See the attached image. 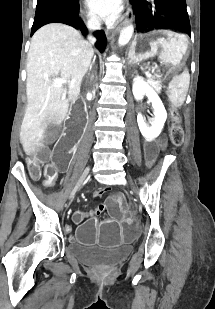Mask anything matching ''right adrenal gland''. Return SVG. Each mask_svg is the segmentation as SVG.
Segmentation results:
<instances>
[{"mask_svg":"<svg viewBox=\"0 0 215 309\" xmlns=\"http://www.w3.org/2000/svg\"><path fill=\"white\" fill-rule=\"evenodd\" d=\"M95 58H96V54H94V58H93V60H92V62H91V64H90V66H89V70H91L92 64H94V62H95ZM88 74H90V72H88Z\"/></svg>","mask_w":215,"mask_h":309,"instance_id":"1","label":"right adrenal gland"}]
</instances>
